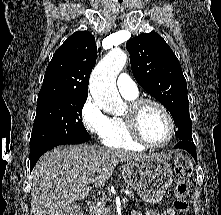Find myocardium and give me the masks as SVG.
<instances>
[{
    "instance_id": "obj_1",
    "label": "myocardium",
    "mask_w": 221,
    "mask_h": 215,
    "mask_svg": "<svg viewBox=\"0 0 221 215\" xmlns=\"http://www.w3.org/2000/svg\"><path fill=\"white\" fill-rule=\"evenodd\" d=\"M146 104H153L157 106L166 116L168 122H169V134L167 139L162 143V144H152L148 142L145 137L143 136L141 129H140V112L143 106ZM127 125L129 132L131 136L134 138L135 141H137L139 144L146 148L150 149H162L165 148L170 144L172 141L174 135H175V121L174 118L169 111V109L160 101L154 99V98H148V97H141V98H136L132 100L129 103L128 109L123 116Z\"/></svg>"
}]
</instances>
